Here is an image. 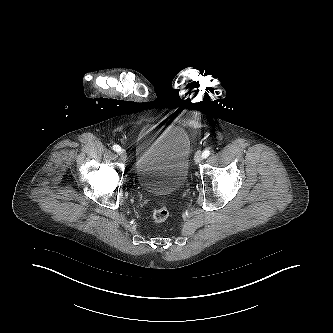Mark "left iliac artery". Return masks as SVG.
Masks as SVG:
<instances>
[{"label":"left iliac artery","instance_id":"left-iliac-artery-1","mask_svg":"<svg viewBox=\"0 0 333 333\" xmlns=\"http://www.w3.org/2000/svg\"><path fill=\"white\" fill-rule=\"evenodd\" d=\"M210 155V150L206 149L204 150V152L202 153V158H207Z\"/></svg>","mask_w":333,"mask_h":333}]
</instances>
